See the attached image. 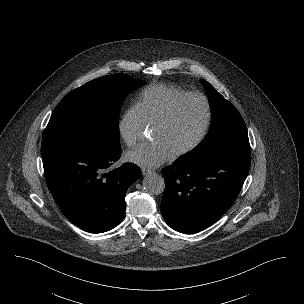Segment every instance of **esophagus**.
<instances>
[{
    "instance_id": "esophagus-1",
    "label": "esophagus",
    "mask_w": 304,
    "mask_h": 304,
    "mask_svg": "<svg viewBox=\"0 0 304 304\" xmlns=\"http://www.w3.org/2000/svg\"><path fill=\"white\" fill-rule=\"evenodd\" d=\"M141 172H142V175H144V176L152 173L151 170L145 169V168L141 169Z\"/></svg>"
}]
</instances>
